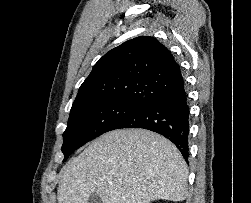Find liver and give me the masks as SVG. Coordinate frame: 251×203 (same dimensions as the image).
<instances>
[{
  "instance_id": "6515ba94",
  "label": "liver",
  "mask_w": 251,
  "mask_h": 203,
  "mask_svg": "<svg viewBox=\"0 0 251 203\" xmlns=\"http://www.w3.org/2000/svg\"><path fill=\"white\" fill-rule=\"evenodd\" d=\"M186 162L176 146L144 129L113 130L94 140L61 170L58 203L183 201Z\"/></svg>"
}]
</instances>
